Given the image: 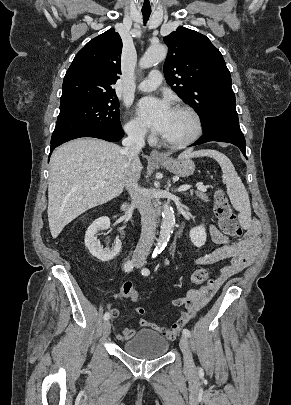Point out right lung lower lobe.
<instances>
[{
  "label": "right lung lower lobe",
  "mask_w": 291,
  "mask_h": 405,
  "mask_svg": "<svg viewBox=\"0 0 291 405\" xmlns=\"http://www.w3.org/2000/svg\"><path fill=\"white\" fill-rule=\"evenodd\" d=\"M124 135L123 130H119V131H114V132H102V131H88V132H81V133H77V134H73L70 136H67L65 138L59 139L53 143H51L50 146V154L52 153V151L59 145L70 141L72 139H76V138H80V137H94V138H99V139H103L106 141H110V142H117L119 141Z\"/></svg>",
  "instance_id": "obj_1"
}]
</instances>
